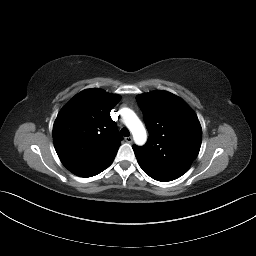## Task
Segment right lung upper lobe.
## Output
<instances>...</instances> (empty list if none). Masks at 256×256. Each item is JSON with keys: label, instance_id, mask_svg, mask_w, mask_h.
Masks as SVG:
<instances>
[{"label": "right lung upper lobe", "instance_id": "1", "mask_svg": "<svg viewBox=\"0 0 256 256\" xmlns=\"http://www.w3.org/2000/svg\"><path fill=\"white\" fill-rule=\"evenodd\" d=\"M119 100L118 95L92 88L62 108L53 126V141L69 171L77 175L114 160L122 137L110 111Z\"/></svg>", "mask_w": 256, "mask_h": 256}]
</instances>
